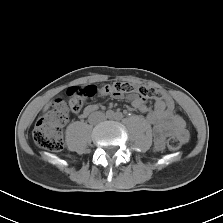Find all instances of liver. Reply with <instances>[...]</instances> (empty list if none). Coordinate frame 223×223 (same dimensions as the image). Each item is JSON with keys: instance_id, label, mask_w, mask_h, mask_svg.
<instances>
[{"instance_id": "6515ba94", "label": "liver", "mask_w": 223, "mask_h": 223, "mask_svg": "<svg viewBox=\"0 0 223 223\" xmlns=\"http://www.w3.org/2000/svg\"><path fill=\"white\" fill-rule=\"evenodd\" d=\"M48 107H49V105H47V106L45 107V110L48 109Z\"/></svg>"}]
</instances>
